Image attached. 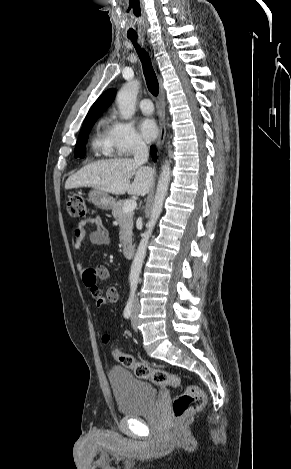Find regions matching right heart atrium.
<instances>
[{
  "label": "right heart atrium",
  "instance_id": "1",
  "mask_svg": "<svg viewBox=\"0 0 291 469\" xmlns=\"http://www.w3.org/2000/svg\"><path fill=\"white\" fill-rule=\"evenodd\" d=\"M107 140L112 153L128 156L145 148V143L134 126L113 115L106 129Z\"/></svg>",
  "mask_w": 291,
  "mask_h": 469
}]
</instances>
